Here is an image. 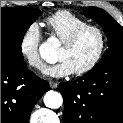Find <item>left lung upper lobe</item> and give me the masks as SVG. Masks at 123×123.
<instances>
[{"label":"left lung upper lobe","mask_w":123,"mask_h":123,"mask_svg":"<svg viewBox=\"0 0 123 123\" xmlns=\"http://www.w3.org/2000/svg\"><path fill=\"white\" fill-rule=\"evenodd\" d=\"M84 15L101 25L108 38V49L99 63L115 57H123V27L106 11L97 7L85 8Z\"/></svg>","instance_id":"left-lung-upper-lobe-1"}]
</instances>
